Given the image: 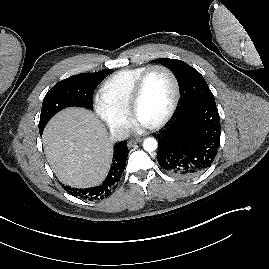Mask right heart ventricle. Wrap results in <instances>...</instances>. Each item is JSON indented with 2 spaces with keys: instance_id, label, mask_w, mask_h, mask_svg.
Segmentation results:
<instances>
[{
  "instance_id": "e07e8e85",
  "label": "right heart ventricle",
  "mask_w": 269,
  "mask_h": 269,
  "mask_svg": "<svg viewBox=\"0 0 269 269\" xmlns=\"http://www.w3.org/2000/svg\"><path fill=\"white\" fill-rule=\"evenodd\" d=\"M147 66L126 68L111 75L101 87V97L113 107L129 112V102L139 76Z\"/></svg>"
}]
</instances>
